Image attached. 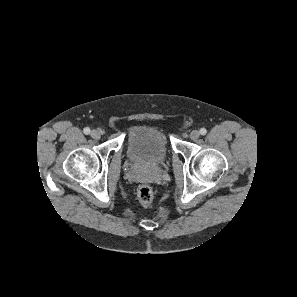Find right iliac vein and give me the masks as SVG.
I'll use <instances>...</instances> for the list:
<instances>
[{"mask_svg":"<svg viewBox=\"0 0 297 297\" xmlns=\"http://www.w3.org/2000/svg\"><path fill=\"white\" fill-rule=\"evenodd\" d=\"M90 135H91V137L93 138V139H99L100 137H101V132H100V130H98V129H93L92 131H91V133H90Z\"/></svg>","mask_w":297,"mask_h":297,"instance_id":"63e3f726","label":"right iliac vein"}]
</instances>
